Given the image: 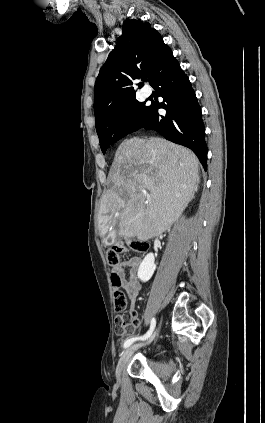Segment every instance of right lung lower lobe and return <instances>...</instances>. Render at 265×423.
<instances>
[{
  "label": "right lung lower lobe",
  "instance_id": "98d812e1",
  "mask_svg": "<svg viewBox=\"0 0 265 423\" xmlns=\"http://www.w3.org/2000/svg\"><path fill=\"white\" fill-rule=\"evenodd\" d=\"M151 85L164 101L160 105L151 104L132 132L140 128L154 130L167 140L190 148L206 170L207 147L201 109L188 77L175 58ZM158 108H164L166 115H159Z\"/></svg>",
  "mask_w": 265,
  "mask_h": 423
}]
</instances>
